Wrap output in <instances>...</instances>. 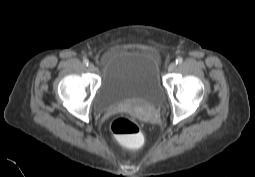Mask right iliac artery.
<instances>
[{
  "mask_svg": "<svg viewBox=\"0 0 255 177\" xmlns=\"http://www.w3.org/2000/svg\"><path fill=\"white\" fill-rule=\"evenodd\" d=\"M83 64L86 65V66H88L89 60H88V59H84V60H83Z\"/></svg>",
  "mask_w": 255,
  "mask_h": 177,
  "instance_id": "1",
  "label": "right iliac artery"
}]
</instances>
